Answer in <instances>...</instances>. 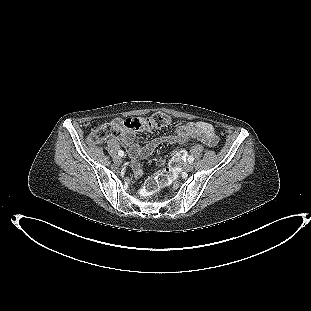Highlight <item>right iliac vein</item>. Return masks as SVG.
<instances>
[{
	"label": "right iliac vein",
	"instance_id": "obj_1",
	"mask_svg": "<svg viewBox=\"0 0 311 311\" xmlns=\"http://www.w3.org/2000/svg\"><path fill=\"white\" fill-rule=\"evenodd\" d=\"M115 162H116L117 164H119V163L121 162V158H120V157L116 158V159H115Z\"/></svg>",
	"mask_w": 311,
	"mask_h": 311
}]
</instances>
